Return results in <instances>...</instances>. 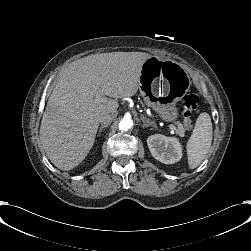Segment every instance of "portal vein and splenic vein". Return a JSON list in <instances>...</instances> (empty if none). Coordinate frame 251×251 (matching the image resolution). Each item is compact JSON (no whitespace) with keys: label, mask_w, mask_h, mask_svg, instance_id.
I'll return each instance as SVG.
<instances>
[{"label":"portal vein and splenic vein","mask_w":251,"mask_h":251,"mask_svg":"<svg viewBox=\"0 0 251 251\" xmlns=\"http://www.w3.org/2000/svg\"><path fill=\"white\" fill-rule=\"evenodd\" d=\"M105 101H106V98H104L102 96H99V95L95 98L96 103H102V102H105ZM168 128L171 129V130H176V127L174 125H172V124H169Z\"/></svg>","instance_id":"18ae733b"}]
</instances>
